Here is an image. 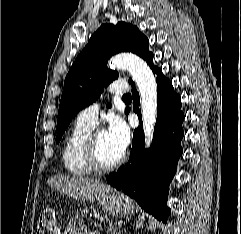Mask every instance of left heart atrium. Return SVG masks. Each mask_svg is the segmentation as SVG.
Masks as SVG:
<instances>
[{
	"mask_svg": "<svg viewBox=\"0 0 241 234\" xmlns=\"http://www.w3.org/2000/svg\"><path fill=\"white\" fill-rule=\"evenodd\" d=\"M106 132L113 145L124 153L130 142V131L126 122L119 116H111Z\"/></svg>",
	"mask_w": 241,
	"mask_h": 234,
	"instance_id": "39dd6f15",
	"label": "left heart atrium"
}]
</instances>
